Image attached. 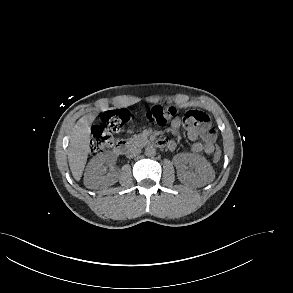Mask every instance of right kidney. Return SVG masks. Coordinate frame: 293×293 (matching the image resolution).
Returning a JSON list of instances; mask_svg holds the SVG:
<instances>
[{
  "mask_svg": "<svg viewBox=\"0 0 293 293\" xmlns=\"http://www.w3.org/2000/svg\"><path fill=\"white\" fill-rule=\"evenodd\" d=\"M110 159L106 154L94 156L87 165L84 175V184L89 189H97L101 186H111L117 182L118 173L113 171L106 174L104 164Z\"/></svg>",
  "mask_w": 293,
  "mask_h": 293,
  "instance_id": "ca27d5eb",
  "label": "right kidney"
}]
</instances>
